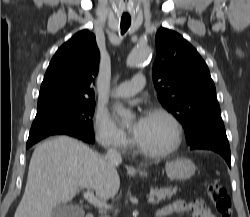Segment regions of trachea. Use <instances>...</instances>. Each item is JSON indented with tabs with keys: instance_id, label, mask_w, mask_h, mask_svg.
<instances>
[{
	"instance_id": "1",
	"label": "trachea",
	"mask_w": 250,
	"mask_h": 217,
	"mask_svg": "<svg viewBox=\"0 0 250 217\" xmlns=\"http://www.w3.org/2000/svg\"><path fill=\"white\" fill-rule=\"evenodd\" d=\"M131 25V19H121V33L124 34Z\"/></svg>"
}]
</instances>
